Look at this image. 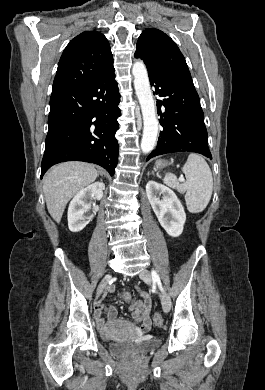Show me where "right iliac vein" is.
<instances>
[{"label": "right iliac vein", "mask_w": 265, "mask_h": 390, "mask_svg": "<svg viewBox=\"0 0 265 390\" xmlns=\"http://www.w3.org/2000/svg\"><path fill=\"white\" fill-rule=\"evenodd\" d=\"M111 279V275L108 274L106 275L103 280L101 281L99 287H98V290H97V295L100 296L101 293L103 292L104 288L106 287L108 281Z\"/></svg>", "instance_id": "obj_1"}]
</instances>
